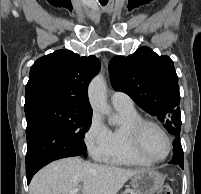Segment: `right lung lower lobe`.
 I'll use <instances>...</instances> for the list:
<instances>
[{"label":"right lung lower lobe","instance_id":"right-lung-lower-lobe-1","mask_svg":"<svg viewBox=\"0 0 201 194\" xmlns=\"http://www.w3.org/2000/svg\"><path fill=\"white\" fill-rule=\"evenodd\" d=\"M26 175L29 184L34 174L46 164L65 157L82 155L84 141L73 132L50 120L34 118L27 122Z\"/></svg>","mask_w":201,"mask_h":194}]
</instances>
